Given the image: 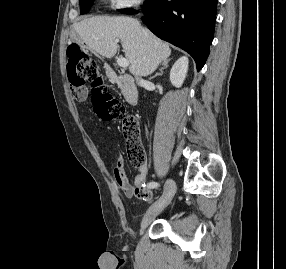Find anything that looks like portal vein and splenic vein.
<instances>
[{"label":"portal vein and splenic vein","instance_id":"1","mask_svg":"<svg viewBox=\"0 0 286 269\" xmlns=\"http://www.w3.org/2000/svg\"><path fill=\"white\" fill-rule=\"evenodd\" d=\"M115 42L118 43L119 40L116 39ZM117 64H118L120 67L125 68V67H128L129 61H128L127 59L121 57V58H118V59H117Z\"/></svg>","mask_w":286,"mask_h":269}]
</instances>
